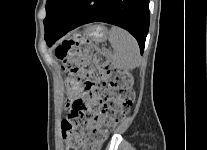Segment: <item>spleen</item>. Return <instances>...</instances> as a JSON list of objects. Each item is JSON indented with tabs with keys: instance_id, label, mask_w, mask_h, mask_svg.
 Returning a JSON list of instances; mask_svg holds the SVG:
<instances>
[{
	"instance_id": "spleen-1",
	"label": "spleen",
	"mask_w": 207,
	"mask_h": 150,
	"mask_svg": "<svg viewBox=\"0 0 207 150\" xmlns=\"http://www.w3.org/2000/svg\"><path fill=\"white\" fill-rule=\"evenodd\" d=\"M109 42L113 48L112 63L116 68L132 70L139 65V46L126 30L113 26L109 31Z\"/></svg>"
}]
</instances>
